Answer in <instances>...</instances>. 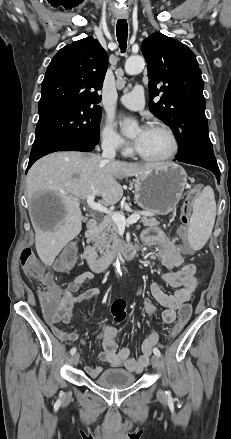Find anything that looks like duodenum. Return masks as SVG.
Listing matches in <instances>:
<instances>
[{
  "label": "duodenum",
  "mask_w": 231,
  "mask_h": 439,
  "mask_svg": "<svg viewBox=\"0 0 231 439\" xmlns=\"http://www.w3.org/2000/svg\"><path fill=\"white\" fill-rule=\"evenodd\" d=\"M98 227V220L91 218L87 222L88 233L93 234ZM139 247L137 244H118L107 250L103 254H98L97 250L88 245L84 250V258L94 272H102L115 260L117 257L125 259H133L138 254Z\"/></svg>",
  "instance_id": "1"
}]
</instances>
